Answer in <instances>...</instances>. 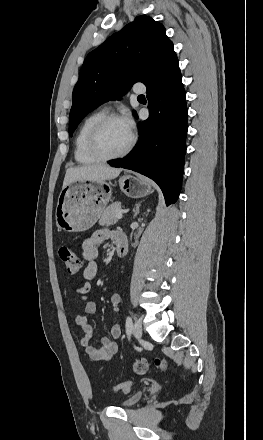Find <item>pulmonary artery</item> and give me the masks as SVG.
Wrapping results in <instances>:
<instances>
[{
	"label": "pulmonary artery",
	"instance_id": "pulmonary-artery-1",
	"mask_svg": "<svg viewBox=\"0 0 263 440\" xmlns=\"http://www.w3.org/2000/svg\"><path fill=\"white\" fill-rule=\"evenodd\" d=\"M133 91H134L136 94H142V93L145 92V88H144V87H138V86H136V87H134Z\"/></svg>",
	"mask_w": 263,
	"mask_h": 440
}]
</instances>
